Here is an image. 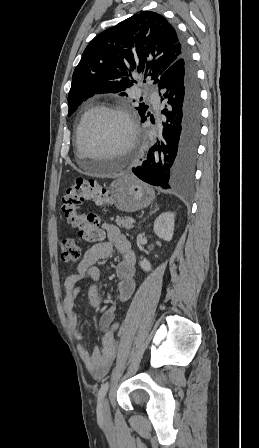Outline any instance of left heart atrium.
Wrapping results in <instances>:
<instances>
[{"instance_id":"39dd6f15","label":"left heart atrium","mask_w":259,"mask_h":448,"mask_svg":"<svg viewBox=\"0 0 259 448\" xmlns=\"http://www.w3.org/2000/svg\"><path fill=\"white\" fill-rule=\"evenodd\" d=\"M152 156H153V155H152V152H151V151H147V158H148V159H151Z\"/></svg>"}]
</instances>
